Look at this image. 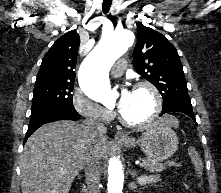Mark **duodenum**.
Wrapping results in <instances>:
<instances>
[{"instance_id": "1", "label": "duodenum", "mask_w": 221, "mask_h": 193, "mask_svg": "<svg viewBox=\"0 0 221 193\" xmlns=\"http://www.w3.org/2000/svg\"><path fill=\"white\" fill-rule=\"evenodd\" d=\"M83 193H88L86 185H83Z\"/></svg>"}]
</instances>
